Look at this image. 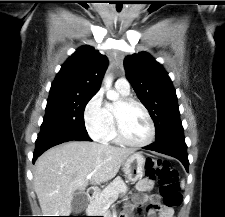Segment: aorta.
<instances>
[{
	"label": "aorta",
	"mask_w": 225,
	"mask_h": 217,
	"mask_svg": "<svg viewBox=\"0 0 225 217\" xmlns=\"http://www.w3.org/2000/svg\"><path fill=\"white\" fill-rule=\"evenodd\" d=\"M112 81H113V78L111 76H107L105 78V86H106V89H107L106 96H107V99H109L113 102H118L119 101V94L116 91L111 89Z\"/></svg>",
	"instance_id": "1"
}]
</instances>
